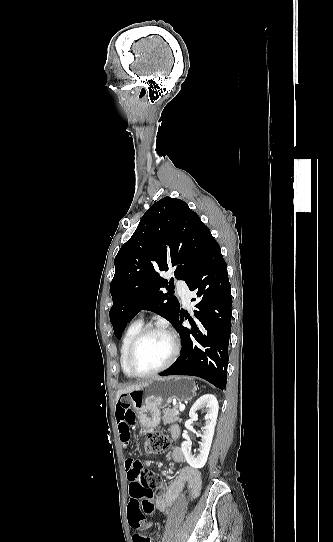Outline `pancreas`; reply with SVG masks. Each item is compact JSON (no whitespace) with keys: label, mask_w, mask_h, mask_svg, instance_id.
I'll return each mask as SVG.
<instances>
[{"label":"pancreas","mask_w":333,"mask_h":542,"mask_svg":"<svg viewBox=\"0 0 333 542\" xmlns=\"http://www.w3.org/2000/svg\"><path fill=\"white\" fill-rule=\"evenodd\" d=\"M179 410L178 408H166V410H163L162 412V422L163 424H173V422H177L179 420Z\"/></svg>","instance_id":"1"}]
</instances>
